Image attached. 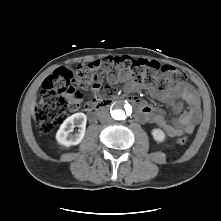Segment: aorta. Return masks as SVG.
<instances>
[{
    "instance_id": "aorta-1",
    "label": "aorta",
    "mask_w": 221,
    "mask_h": 221,
    "mask_svg": "<svg viewBox=\"0 0 221 221\" xmlns=\"http://www.w3.org/2000/svg\"><path fill=\"white\" fill-rule=\"evenodd\" d=\"M111 116L115 120H125L127 117V110L124 108L123 105H118L113 108L111 111Z\"/></svg>"
}]
</instances>
